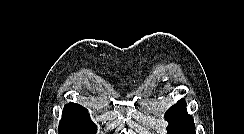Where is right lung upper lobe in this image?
Returning a JSON list of instances; mask_svg holds the SVG:
<instances>
[{
    "mask_svg": "<svg viewBox=\"0 0 244 134\" xmlns=\"http://www.w3.org/2000/svg\"><path fill=\"white\" fill-rule=\"evenodd\" d=\"M62 119L91 120L87 110L76 103H69L64 106Z\"/></svg>",
    "mask_w": 244,
    "mask_h": 134,
    "instance_id": "right-lung-upper-lobe-1",
    "label": "right lung upper lobe"
}]
</instances>
